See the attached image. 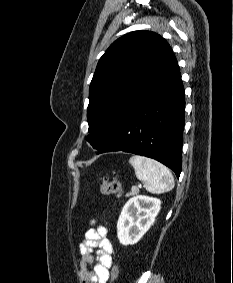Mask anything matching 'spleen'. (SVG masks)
Masks as SVG:
<instances>
[{"instance_id": "obj_1", "label": "spleen", "mask_w": 233, "mask_h": 283, "mask_svg": "<svg viewBox=\"0 0 233 283\" xmlns=\"http://www.w3.org/2000/svg\"><path fill=\"white\" fill-rule=\"evenodd\" d=\"M129 163L133 166L136 177L143 181L147 191L161 194L174 188L173 175L163 164L139 155L132 156Z\"/></svg>"}]
</instances>
